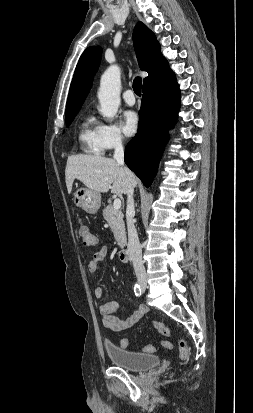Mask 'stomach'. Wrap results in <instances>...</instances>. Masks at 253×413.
<instances>
[{
  "label": "stomach",
  "instance_id": "0dacf381",
  "mask_svg": "<svg viewBox=\"0 0 253 413\" xmlns=\"http://www.w3.org/2000/svg\"><path fill=\"white\" fill-rule=\"evenodd\" d=\"M74 203L87 213L95 214L101 205V194L88 188H80L74 193Z\"/></svg>",
  "mask_w": 253,
  "mask_h": 413
}]
</instances>
